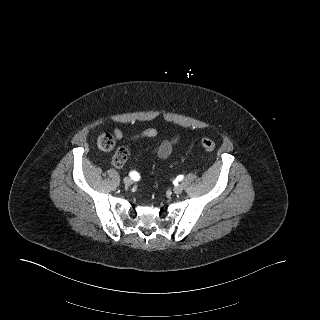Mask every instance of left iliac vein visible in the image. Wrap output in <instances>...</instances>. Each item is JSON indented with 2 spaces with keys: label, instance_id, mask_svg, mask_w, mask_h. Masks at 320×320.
I'll list each match as a JSON object with an SVG mask.
<instances>
[{
  "label": "left iliac vein",
  "instance_id": "left-iliac-vein-1",
  "mask_svg": "<svg viewBox=\"0 0 320 320\" xmlns=\"http://www.w3.org/2000/svg\"><path fill=\"white\" fill-rule=\"evenodd\" d=\"M183 191V185L179 184L173 188V192L175 194H180Z\"/></svg>",
  "mask_w": 320,
  "mask_h": 320
}]
</instances>
